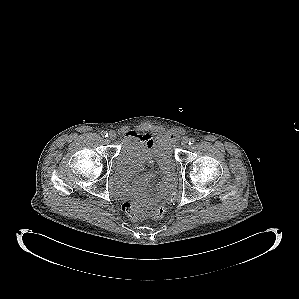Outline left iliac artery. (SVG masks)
I'll return each mask as SVG.
<instances>
[{
  "label": "left iliac artery",
  "mask_w": 299,
  "mask_h": 299,
  "mask_svg": "<svg viewBox=\"0 0 299 299\" xmlns=\"http://www.w3.org/2000/svg\"><path fill=\"white\" fill-rule=\"evenodd\" d=\"M194 143H195V139H194V138H190V139H189V144L192 145V144H194Z\"/></svg>",
  "instance_id": "obj_1"
}]
</instances>
